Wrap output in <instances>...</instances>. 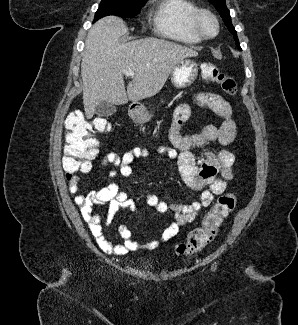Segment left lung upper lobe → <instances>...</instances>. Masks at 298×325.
<instances>
[{"mask_svg": "<svg viewBox=\"0 0 298 325\" xmlns=\"http://www.w3.org/2000/svg\"><path fill=\"white\" fill-rule=\"evenodd\" d=\"M218 10V12L220 13L225 25L227 26V28L229 29V31L234 35V39L236 41L237 46L239 47V41L237 38V34L236 31L231 23V17L229 14V10L226 7V2L225 0H209Z\"/></svg>", "mask_w": 298, "mask_h": 325, "instance_id": "5c2ea615", "label": "left lung upper lobe"}]
</instances>
